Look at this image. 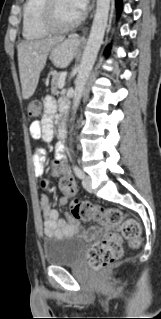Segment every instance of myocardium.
<instances>
[{
    "label": "myocardium",
    "instance_id": "obj_1",
    "mask_svg": "<svg viewBox=\"0 0 161 319\" xmlns=\"http://www.w3.org/2000/svg\"><path fill=\"white\" fill-rule=\"evenodd\" d=\"M58 0H44L40 21L42 26L52 33H64L75 29L82 21L83 15L79 16L66 25H59L56 22V5Z\"/></svg>",
    "mask_w": 161,
    "mask_h": 319
}]
</instances>
